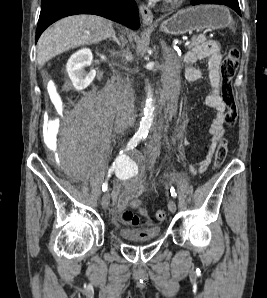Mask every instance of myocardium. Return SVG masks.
I'll use <instances>...</instances> for the list:
<instances>
[{"label":"myocardium","instance_id":"f54148a6","mask_svg":"<svg viewBox=\"0 0 267 298\" xmlns=\"http://www.w3.org/2000/svg\"><path fill=\"white\" fill-rule=\"evenodd\" d=\"M184 0H164L165 5L167 6H175L183 2Z\"/></svg>","mask_w":267,"mask_h":298}]
</instances>
